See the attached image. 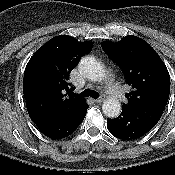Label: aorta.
Wrapping results in <instances>:
<instances>
[{"instance_id": "762f6f07", "label": "aorta", "mask_w": 175, "mask_h": 175, "mask_svg": "<svg viewBox=\"0 0 175 175\" xmlns=\"http://www.w3.org/2000/svg\"><path fill=\"white\" fill-rule=\"evenodd\" d=\"M80 69L91 81H101L105 77L103 65L94 57L84 58L80 63ZM102 110L108 117H117L121 112V103L117 98L109 97L103 102Z\"/></svg>"}]
</instances>
